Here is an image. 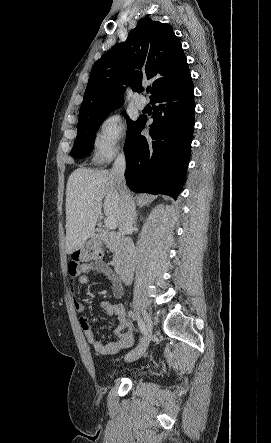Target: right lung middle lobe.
<instances>
[{"label":"right lung middle lobe","mask_w":271,"mask_h":443,"mask_svg":"<svg viewBox=\"0 0 271 443\" xmlns=\"http://www.w3.org/2000/svg\"><path fill=\"white\" fill-rule=\"evenodd\" d=\"M110 113V112H109ZM97 117L81 118L78 120L77 124V137L74 142L73 149L71 151V156L74 158H82L88 155L94 144L95 134L102 124L106 116L109 114ZM127 117L128 128L135 123Z\"/></svg>","instance_id":"obj_1"}]
</instances>
